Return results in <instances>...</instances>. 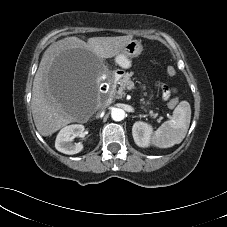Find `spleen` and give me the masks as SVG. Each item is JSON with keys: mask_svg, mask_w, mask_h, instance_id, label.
I'll return each mask as SVG.
<instances>
[{"mask_svg": "<svg viewBox=\"0 0 227 227\" xmlns=\"http://www.w3.org/2000/svg\"><path fill=\"white\" fill-rule=\"evenodd\" d=\"M190 120V104L187 101H181L170 119L155 131L151 138L152 144L159 148H169L181 143L187 134Z\"/></svg>", "mask_w": 227, "mask_h": 227, "instance_id": "obj_1", "label": "spleen"}]
</instances>
